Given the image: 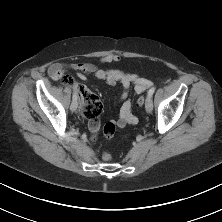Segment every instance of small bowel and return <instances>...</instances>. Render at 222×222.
<instances>
[{
  "instance_id": "1",
  "label": "small bowel",
  "mask_w": 222,
  "mask_h": 222,
  "mask_svg": "<svg viewBox=\"0 0 222 222\" xmlns=\"http://www.w3.org/2000/svg\"><path fill=\"white\" fill-rule=\"evenodd\" d=\"M120 57L116 54H108L99 58L100 63H113L118 62ZM66 69H71L77 73V76L82 81L87 80L89 76H92L98 80L105 81L109 85H115L120 83L122 86V92L120 95V101L122 102L119 117L115 121V124L119 128H124L127 125H134L138 122V118L132 112V102L128 98L131 86H134V90L137 94L143 93L147 88L151 86V82L137 74L126 73L118 69H101L94 63H72V64H53L49 67L48 73L54 80L61 78ZM101 111L97 114H92L88 117L89 130L93 137L97 133L100 122Z\"/></svg>"
}]
</instances>
